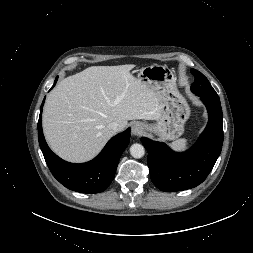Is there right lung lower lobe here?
I'll return each instance as SVG.
<instances>
[{"mask_svg": "<svg viewBox=\"0 0 253 253\" xmlns=\"http://www.w3.org/2000/svg\"><path fill=\"white\" fill-rule=\"evenodd\" d=\"M54 82L53 87L57 82ZM52 87V88H53ZM38 121V140L45 161L53 176L66 188L80 193H100L112 182L121 154L130 141V128L108 141L101 153L83 164L66 162L48 147L42 132V107Z\"/></svg>", "mask_w": 253, "mask_h": 253, "instance_id": "1", "label": "right lung lower lobe"}]
</instances>
